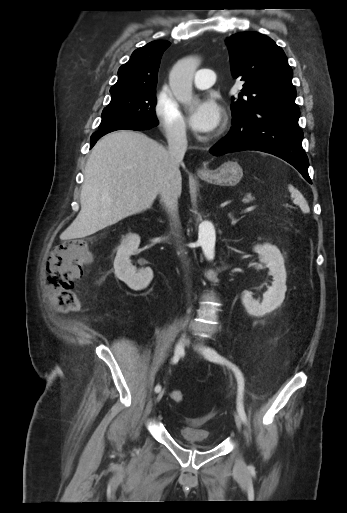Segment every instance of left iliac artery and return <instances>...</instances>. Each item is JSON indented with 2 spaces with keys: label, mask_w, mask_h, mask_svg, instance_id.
I'll list each match as a JSON object with an SVG mask.
<instances>
[{
  "label": "left iliac artery",
  "mask_w": 347,
  "mask_h": 513,
  "mask_svg": "<svg viewBox=\"0 0 347 513\" xmlns=\"http://www.w3.org/2000/svg\"><path fill=\"white\" fill-rule=\"evenodd\" d=\"M204 355L205 357L212 362L221 363L227 365L232 371L234 372L238 389H237V411L244 423L247 421L246 413L243 406V393H244V377L240 369L232 364L231 362L227 361L225 358H223L221 355L218 354L216 350L213 348H205L204 349ZM250 469H253V466H250Z\"/></svg>",
  "instance_id": "1"
}]
</instances>
